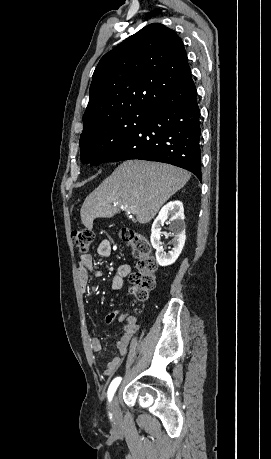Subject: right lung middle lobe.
<instances>
[{"label":"right lung middle lobe","instance_id":"right-lung-middle-lobe-1","mask_svg":"<svg viewBox=\"0 0 271 459\" xmlns=\"http://www.w3.org/2000/svg\"><path fill=\"white\" fill-rule=\"evenodd\" d=\"M154 110L153 106L139 105L85 122L79 141L81 161L93 166L106 162Z\"/></svg>","mask_w":271,"mask_h":459}]
</instances>
